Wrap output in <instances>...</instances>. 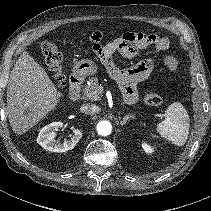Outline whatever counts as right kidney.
<instances>
[{"instance_id":"obj_1","label":"right kidney","mask_w":211,"mask_h":211,"mask_svg":"<svg viewBox=\"0 0 211 211\" xmlns=\"http://www.w3.org/2000/svg\"><path fill=\"white\" fill-rule=\"evenodd\" d=\"M62 122H53L43 127L37 137V143L44 149L51 152H66L72 150L76 143L82 138V132L79 129L73 130V136L69 140H64L63 143L56 141V132L62 128Z\"/></svg>"}]
</instances>
